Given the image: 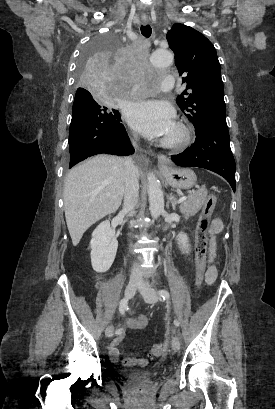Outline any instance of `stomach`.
I'll list each match as a JSON object with an SVG mask.
<instances>
[{"mask_svg": "<svg viewBox=\"0 0 275 409\" xmlns=\"http://www.w3.org/2000/svg\"><path fill=\"white\" fill-rule=\"evenodd\" d=\"M165 180L173 188H192L196 184L197 176L191 168H175V166H165L160 168Z\"/></svg>", "mask_w": 275, "mask_h": 409, "instance_id": "1", "label": "stomach"}]
</instances>
